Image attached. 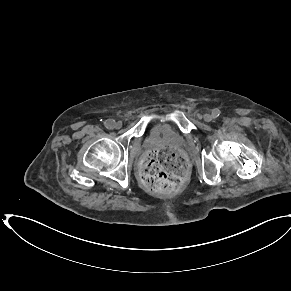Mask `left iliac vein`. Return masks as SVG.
<instances>
[{"instance_id":"obj_1","label":"left iliac vein","mask_w":291,"mask_h":291,"mask_svg":"<svg viewBox=\"0 0 291 291\" xmlns=\"http://www.w3.org/2000/svg\"><path fill=\"white\" fill-rule=\"evenodd\" d=\"M203 119L205 122H210L212 120V116L210 114H205Z\"/></svg>"}]
</instances>
